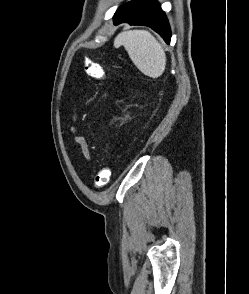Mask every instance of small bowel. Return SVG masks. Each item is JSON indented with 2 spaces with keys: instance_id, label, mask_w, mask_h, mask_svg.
<instances>
[{
  "instance_id": "c3829d8e",
  "label": "small bowel",
  "mask_w": 249,
  "mask_h": 294,
  "mask_svg": "<svg viewBox=\"0 0 249 294\" xmlns=\"http://www.w3.org/2000/svg\"><path fill=\"white\" fill-rule=\"evenodd\" d=\"M77 120V116L76 114L72 115V121L76 122ZM71 132L74 133L75 132V128L71 127ZM74 144L76 147V151H77V155L86 161H89L91 159V155H90V151H89V147H88V143L86 141V139L82 136H75L74 137Z\"/></svg>"
}]
</instances>
